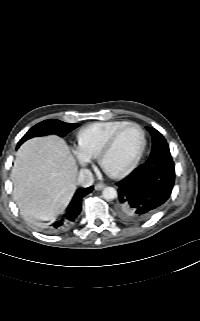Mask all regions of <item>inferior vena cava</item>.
Segmentation results:
<instances>
[{"label": "inferior vena cava", "instance_id": "inferior-vena-cava-1", "mask_svg": "<svg viewBox=\"0 0 200 321\" xmlns=\"http://www.w3.org/2000/svg\"><path fill=\"white\" fill-rule=\"evenodd\" d=\"M93 174L88 169H81L77 177V183L82 187H89L93 184Z\"/></svg>", "mask_w": 200, "mask_h": 321}]
</instances>
